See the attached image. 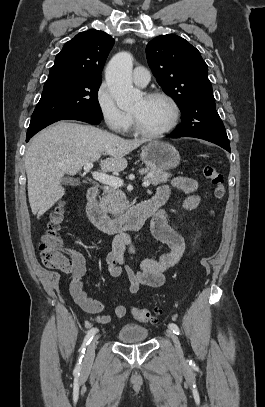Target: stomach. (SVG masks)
<instances>
[{
	"instance_id": "1",
	"label": "stomach",
	"mask_w": 265,
	"mask_h": 407,
	"mask_svg": "<svg viewBox=\"0 0 265 407\" xmlns=\"http://www.w3.org/2000/svg\"><path fill=\"white\" fill-rule=\"evenodd\" d=\"M140 157L147 167L155 170H171L180 163V155L176 148L163 141L149 142L142 148Z\"/></svg>"
}]
</instances>
